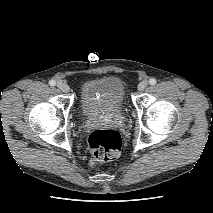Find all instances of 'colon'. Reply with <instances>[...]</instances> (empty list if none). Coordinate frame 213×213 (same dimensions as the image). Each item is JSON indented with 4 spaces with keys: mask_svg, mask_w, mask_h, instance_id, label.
<instances>
[{
    "mask_svg": "<svg viewBox=\"0 0 213 213\" xmlns=\"http://www.w3.org/2000/svg\"><path fill=\"white\" fill-rule=\"evenodd\" d=\"M91 161H110L118 157L122 147L120 134L113 129L94 130L88 139Z\"/></svg>",
    "mask_w": 213,
    "mask_h": 213,
    "instance_id": "colon-1",
    "label": "colon"
}]
</instances>
